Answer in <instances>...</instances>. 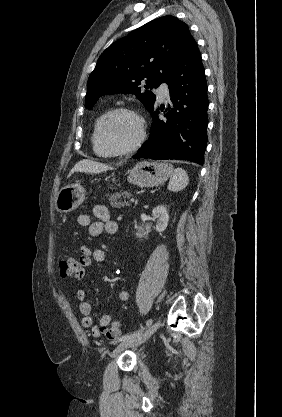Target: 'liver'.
<instances>
[{"label":"liver","mask_w":282,"mask_h":417,"mask_svg":"<svg viewBox=\"0 0 282 417\" xmlns=\"http://www.w3.org/2000/svg\"><path fill=\"white\" fill-rule=\"evenodd\" d=\"M106 170H114L109 164L104 162H96V160H89V158H83L76 162L75 166L71 168L68 176H71L73 172H90V174H99V172H106Z\"/></svg>","instance_id":"6515ba94"}]
</instances>
